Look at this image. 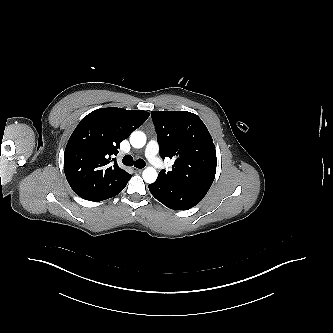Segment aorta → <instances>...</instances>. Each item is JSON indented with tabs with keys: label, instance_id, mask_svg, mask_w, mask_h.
Listing matches in <instances>:
<instances>
[{
	"label": "aorta",
	"instance_id": "obj_1",
	"mask_svg": "<svg viewBox=\"0 0 333 333\" xmlns=\"http://www.w3.org/2000/svg\"><path fill=\"white\" fill-rule=\"evenodd\" d=\"M130 143L134 148H142L146 144V135L141 131H134L130 136ZM157 171L153 167H147L142 174L146 183H153L157 179Z\"/></svg>",
	"mask_w": 333,
	"mask_h": 333
}]
</instances>
